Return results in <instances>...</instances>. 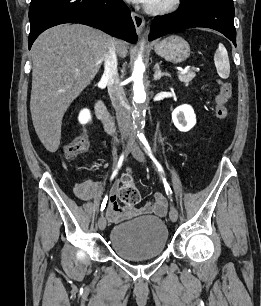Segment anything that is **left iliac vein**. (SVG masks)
Here are the masks:
<instances>
[{
    "mask_svg": "<svg viewBox=\"0 0 261 306\" xmlns=\"http://www.w3.org/2000/svg\"><path fill=\"white\" fill-rule=\"evenodd\" d=\"M128 150L132 153L133 157L139 162H145L146 157L142 149L139 147L134 138L130 139ZM169 217L172 222H176L178 219V211L174 206H171Z\"/></svg>",
    "mask_w": 261,
    "mask_h": 306,
    "instance_id": "4c4485c4",
    "label": "left iliac vein"
}]
</instances>
